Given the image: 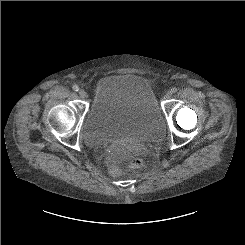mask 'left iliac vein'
<instances>
[{
    "label": "left iliac vein",
    "mask_w": 245,
    "mask_h": 245,
    "mask_svg": "<svg viewBox=\"0 0 245 245\" xmlns=\"http://www.w3.org/2000/svg\"><path fill=\"white\" fill-rule=\"evenodd\" d=\"M171 96H172L171 91L166 92V94H165V98H166V99L171 98Z\"/></svg>",
    "instance_id": "1"
}]
</instances>
